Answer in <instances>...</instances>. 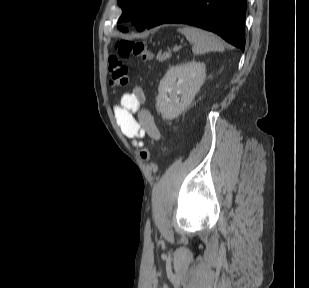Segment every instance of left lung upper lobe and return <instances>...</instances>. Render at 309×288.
Listing matches in <instances>:
<instances>
[{
	"instance_id": "5c2ea615",
	"label": "left lung upper lobe",
	"mask_w": 309,
	"mask_h": 288,
	"mask_svg": "<svg viewBox=\"0 0 309 288\" xmlns=\"http://www.w3.org/2000/svg\"><path fill=\"white\" fill-rule=\"evenodd\" d=\"M168 0H118L123 10L118 22L132 20L139 31L143 30L149 20L163 7ZM119 30L126 32L124 27Z\"/></svg>"
}]
</instances>
